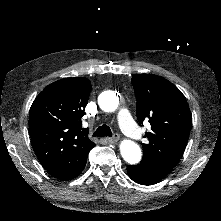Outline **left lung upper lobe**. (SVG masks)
Instances as JSON below:
<instances>
[{"mask_svg": "<svg viewBox=\"0 0 221 221\" xmlns=\"http://www.w3.org/2000/svg\"><path fill=\"white\" fill-rule=\"evenodd\" d=\"M137 98V117L149 119L152 132L143 144L142 161L167 175L179 162L188 142L192 114L182 92L170 81L152 74L131 79Z\"/></svg>", "mask_w": 221, "mask_h": 221, "instance_id": "obj_1", "label": "left lung upper lobe"}]
</instances>
